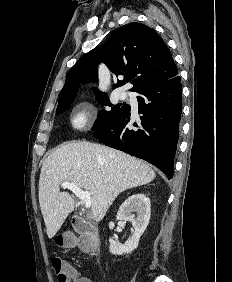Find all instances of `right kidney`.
Returning a JSON list of instances; mask_svg holds the SVG:
<instances>
[{"label": "right kidney", "mask_w": 232, "mask_h": 282, "mask_svg": "<svg viewBox=\"0 0 232 282\" xmlns=\"http://www.w3.org/2000/svg\"><path fill=\"white\" fill-rule=\"evenodd\" d=\"M135 212L137 217L132 214ZM151 215L150 199L142 193L132 195L119 208L117 220L130 221L135 229L133 236L125 244L109 239V250L112 254L122 255L131 253L138 247L141 235L146 230ZM114 222L109 223V228H114Z\"/></svg>", "instance_id": "obj_1"}]
</instances>
